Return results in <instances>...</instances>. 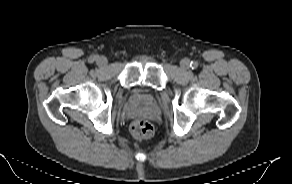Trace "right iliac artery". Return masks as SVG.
Listing matches in <instances>:
<instances>
[{
    "instance_id": "obj_1",
    "label": "right iliac artery",
    "mask_w": 292,
    "mask_h": 184,
    "mask_svg": "<svg viewBox=\"0 0 292 184\" xmlns=\"http://www.w3.org/2000/svg\"><path fill=\"white\" fill-rule=\"evenodd\" d=\"M95 59H96V57H91V58L89 59V61L92 63V62L95 61Z\"/></svg>"
}]
</instances>
